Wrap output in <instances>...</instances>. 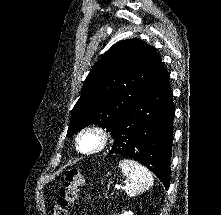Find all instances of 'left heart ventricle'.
I'll use <instances>...</instances> for the list:
<instances>
[{"instance_id": "left-heart-ventricle-1", "label": "left heart ventricle", "mask_w": 221, "mask_h": 215, "mask_svg": "<svg viewBox=\"0 0 221 215\" xmlns=\"http://www.w3.org/2000/svg\"><path fill=\"white\" fill-rule=\"evenodd\" d=\"M98 143V139L94 135H86L82 138L80 145L83 150L93 149Z\"/></svg>"}]
</instances>
